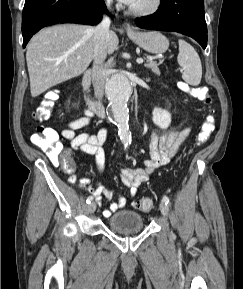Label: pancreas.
<instances>
[{"mask_svg":"<svg viewBox=\"0 0 243 289\" xmlns=\"http://www.w3.org/2000/svg\"><path fill=\"white\" fill-rule=\"evenodd\" d=\"M145 67L150 68L152 72H154L157 75H160V70L155 61L151 59H147V63L145 64Z\"/></svg>","mask_w":243,"mask_h":289,"instance_id":"obj_1","label":"pancreas"}]
</instances>
